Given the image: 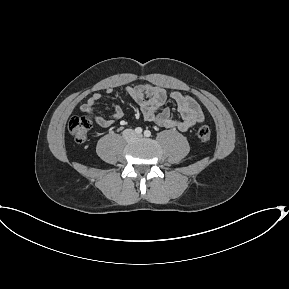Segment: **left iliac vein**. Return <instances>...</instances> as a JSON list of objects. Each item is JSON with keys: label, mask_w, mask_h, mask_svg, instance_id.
Returning <instances> with one entry per match:
<instances>
[{"label": "left iliac vein", "mask_w": 289, "mask_h": 289, "mask_svg": "<svg viewBox=\"0 0 289 289\" xmlns=\"http://www.w3.org/2000/svg\"><path fill=\"white\" fill-rule=\"evenodd\" d=\"M136 137H137V138H141V137H142V135H141V134H139V135H137Z\"/></svg>", "instance_id": "4c4485c4"}]
</instances>
